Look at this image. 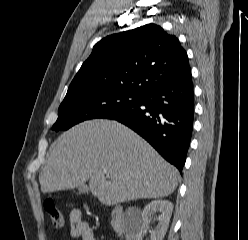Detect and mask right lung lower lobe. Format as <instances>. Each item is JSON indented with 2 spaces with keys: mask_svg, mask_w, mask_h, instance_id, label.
<instances>
[{
  "mask_svg": "<svg viewBox=\"0 0 248 240\" xmlns=\"http://www.w3.org/2000/svg\"><path fill=\"white\" fill-rule=\"evenodd\" d=\"M107 119L130 127L182 172L194 120L191 72L152 88L136 105Z\"/></svg>",
  "mask_w": 248,
  "mask_h": 240,
  "instance_id": "98d812e1",
  "label": "right lung lower lobe"
}]
</instances>
